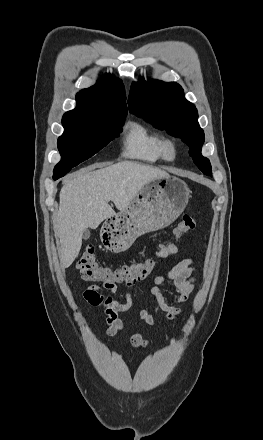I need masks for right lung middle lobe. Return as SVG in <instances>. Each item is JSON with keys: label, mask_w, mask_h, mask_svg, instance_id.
Returning a JSON list of instances; mask_svg holds the SVG:
<instances>
[{"label": "right lung middle lobe", "mask_w": 263, "mask_h": 440, "mask_svg": "<svg viewBox=\"0 0 263 440\" xmlns=\"http://www.w3.org/2000/svg\"><path fill=\"white\" fill-rule=\"evenodd\" d=\"M126 115H101L80 124H63L58 139L61 161L54 168L53 179L67 174L71 168L92 157L119 135Z\"/></svg>", "instance_id": "dd1d6c3e"}]
</instances>
